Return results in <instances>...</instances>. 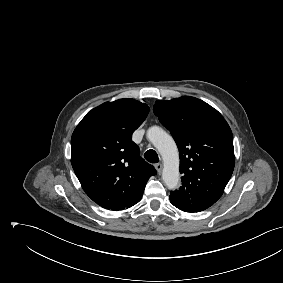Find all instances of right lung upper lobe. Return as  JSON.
<instances>
[{
  "instance_id": "cb5924a9",
  "label": "right lung upper lobe",
  "mask_w": 283,
  "mask_h": 283,
  "mask_svg": "<svg viewBox=\"0 0 283 283\" xmlns=\"http://www.w3.org/2000/svg\"><path fill=\"white\" fill-rule=\"evenodd\" d=\"M148 113L149 107L134 99L106 102L89 111L72 134L74 172L85 193L105 209L137 204L156 174L131 140Z\"/></svg>"
}]
</instances>
